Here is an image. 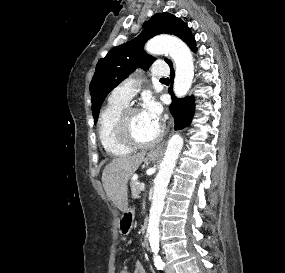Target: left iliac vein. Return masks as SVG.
Listing matches in <instances>:
<instances>
[{
  "instance_id": "1",
  "label": "left iliac vein",
  "mask_w": 285,
  "mask_h": 273,
  "mask_svg": "<svg viewBox=\"0 0 285 273\" xmlns=\"http://www.w3.org/2000/svg\"><path fill=\"white\" fill-rule=\"evenodd\" d=\"M166 273H175L174 268L171 265H167L165 269Z\"/></svg>"
}]
</instances>
